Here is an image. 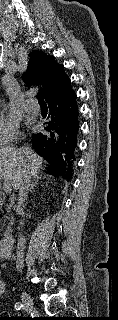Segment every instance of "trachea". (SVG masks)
Masks as SVG:
<instances>
[{
  "label": "trachea",
  "instance_id": "3493384b",
  "mask_svg": "<svg viewBox=\"0 0 118 320\" xmlns=\"http://www.w3.org/2000/svg\"><path fill=\"white\" fill-rule=\"evenodd\" d=\"M39 104H40V106L41 107H47V104H46V102L44 101V99L43 98H39Z\"/></svg>",
  "mask_w": 118,
  "mask_h": 320
}]
</instances>
